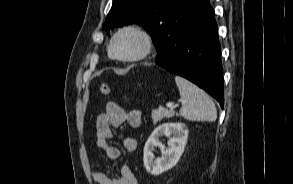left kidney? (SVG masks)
I'll use <instances>...</instances> for the list:
<instances>
[{
  "label": "left kidney",
  "mask_w": 293,
  "mask_h": 184,
  "mask_svg": "<svg viewBox=\"0 0 293 184\" xmlns=\"http://www.w3.org/2000/svg\"><path fill=\"white\" fill-rule=\"evenodd\" d=\"M188 132L184 123H165L158 126L144 146V166L147 172L157 176L173 168L183 154ZM162 136L169 137L168 147L159 141ZM155 147L160 148L162 157L154 160Z\"/></svg>",
  "instance_id": "obj_1"
}]
</instances>
